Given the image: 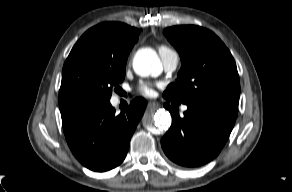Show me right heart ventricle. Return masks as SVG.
I'll return each instance as SVG.
<instances>
[{"instance_id": "obj_1", "label": "right heart ventricle", "mask_w": 292, "mask_h": 192, "mask_svg": "<svg viewBox=\"0 0 292 192\" xmlns=\"http://www.w3.org/2000/svg\"><path fill=\"white\" fill-rule=\"evenodd\" d=\"M167 50H170L168 47H166V46H160L159 47V52L161 53V52H164V51H167Z\"/></svg>"}]
</instances>
